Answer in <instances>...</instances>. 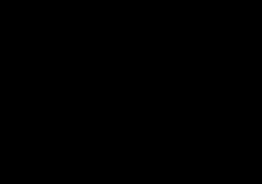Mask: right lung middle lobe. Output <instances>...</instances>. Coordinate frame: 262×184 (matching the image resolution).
<instances>
[{
    "mask_svg": "<svg viewBox=\"0 0 262 184\" xmlns=\"http://www.w3.org/2000/svg\"><path fill=\"white\" fill-rule=\"evenodd\" d=\"M77 53V47H75L60 54L56 60L55 73L61 81L63 80V86L59 87L60 94L74 95L76 93L73 81L78 61Z\"/></svg>",
    "mask_w": 262,
    "mask_h": 184,
    "instance_id": "right-lung-middle-lobe-1",
    "label": "right lung middle lobe"
}]
</instances>
